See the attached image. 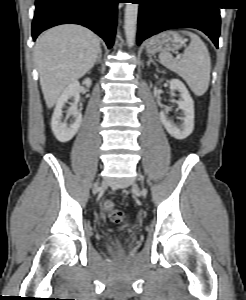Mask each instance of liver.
Masks as SVG:
<instances>
[{
    "instance_id": "liver-1",
    "label": "liver",
    "mask_w": 246,
    "mask_h": 300,
    "mask_svg": "<svg viewBox=\"0 0 246 300\" xmlns=\"http://www.w3.org/2000/svg\"><path fill=\"white\" fill-rule=\"evenodd\" d=\"M100 51L97 35L79 25L56 26L38 37L34 60L48 108L54 106L68 84L94 66Z\"/></svg>"
}]
</instances>
